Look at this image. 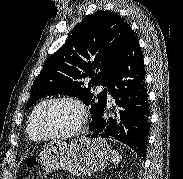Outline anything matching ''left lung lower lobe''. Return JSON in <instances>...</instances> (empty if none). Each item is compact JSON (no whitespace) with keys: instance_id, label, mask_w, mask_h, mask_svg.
<instances>
[{"instance_id":"0a47b994","label":"left lung lower lobe","mask_w":183,"mask_h":179,"mask_svg":"<svg viewBox=\"0 0 183 179\" xmlns=\"http://www.w3.org/2000/svg\"><path fill=\"white\" fill-rule=\"evenodd\" d=\"M108 91L115 99L116 113L114 117H108L105 105L92 121L88 137L116 139L143 158L150 127V108L143 56L132 29L127 33L108 83Z\"/></svg>"}]
</instances>
